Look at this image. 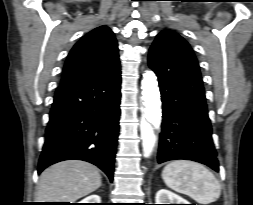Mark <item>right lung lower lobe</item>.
<instances>
[{
  "mask_svg": "<svg viewBox=\"0 0 253 205\" xmlns=\"http://www.w3.org/2000/svg\"><path fill=\"white\" fill-rule=\"evenodd\" d=\"M120 85L118 63L101 74L57 88L38 173L56 162L78 159L95 164L113 181Z\"/></svg>",
  "mask_w": 253,
  "mask_h": 205,
  "instance_id": "right-lung-lower-lobe-1",
  "label": "right lung lower lobe"
}]
</instances>
